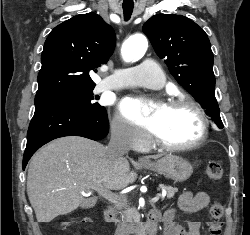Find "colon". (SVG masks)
I'll return each instance as SVG.
<instances>
[{
  "instance_id": "obj_1",
  "label": "colon",
  "mask_w": 250,
  "mask_h": 235,
  "mask_svg": "<svg viewBox=\"0 0 250 235\" xmlns=\"http://www.w3.org/2000/svg\"><path fill=\"white\" fill-rule=\"evenodd\" d=\"M207 177L210 181L220 183L223 179V169L220 163L212 161L206 169ZM223 206L219 202L211 204L208 212V228L210 235H221L222 232Z\"/></svg>"
}]
</instances>
